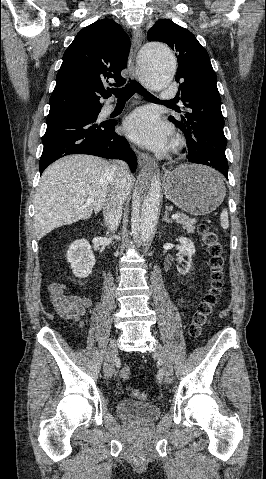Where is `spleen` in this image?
I'll return each mask as SVG.
<instances>
[{"label":"spleen","instance_id":"3e777b00","mask_svg":"<svg viewBox=\"0 0 266 479\" xmlns=\"http://www.w3.org/2000/svg\"><path fill=\"white\" fill-rule=\"evenodd\" d=\"M220 220H221V227L224 229H227L229 227V221H228V212L226 209H224L221 212Z\"/></svg>","mask_w":266,"mask_h":479}]
</instances>
